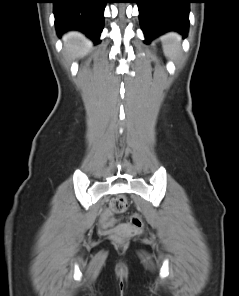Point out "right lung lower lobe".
Wrapping results in <instances>:
<instances>
[{
	"instance_id": "1",
	"label": "right lung lower lobe",
	"mask_w": 239,
	"mask_h": 296,
	"mask_svg": "<svg viewBox=\"0 0 239 296\" xmlns=\"http://www.w3.org/2000/svg\"><path fill=\"white\" fill-rule=\"evenodd\" d=\"M107 0H52L57 33L79 30L99 43Z\"/></svg>"
}]
</instances>
